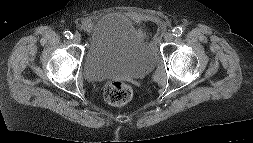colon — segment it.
I'll list each match as a JSON object with an SVG mask.
<instances>
[{"label":"colon","mask_w":253,"mask_h":143,"mask_svg":"<svg viewBox=\"0 0 253 143\" xmlns=\"http://www.w3.org/2000/svg\"><path fill=\"white\" fill-rule=\"evenodd\" d=\"M104 96L109 104L120 106L131 100L133 89L127 82L115 81L107 85Z\"/></svg>","instance_id":"5ec220e1"}]
</instances>
